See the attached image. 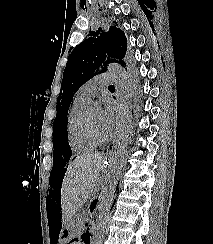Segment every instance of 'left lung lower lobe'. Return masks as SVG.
Wrapping results in <instances>:
<instances>
[{
	"instance_id": "obj_1",
	"label": "left lung lower lobe",
	"mask_w": 213,
	"mask_h": 244,
	"mask_svg": "<svg viewBox=\"0 0 213 244\" xmlns=\"http://www.w3.org/2000/svg\"><path fill=\"white\" fill-rule=\"evenodd\" d=\"M132 112H133V111H132ZM96 204H97V200H95L94 202L91 203V211L94 210Z\"/></svg>"
}]
</instances>
